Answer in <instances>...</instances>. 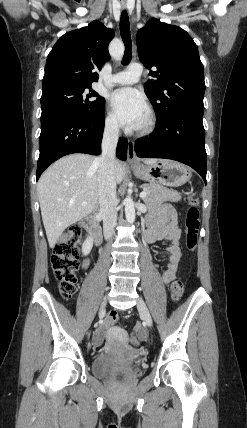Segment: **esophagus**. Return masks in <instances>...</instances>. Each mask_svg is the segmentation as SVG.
Listing matches in <instances>:
<instances>
[{
	"mask_svg": "<svg viewBox=\"0 0 247 428\" xmlns=\"http://www.w3.org/2000/svg\"><path fill=\"white\" fill-rule=\"evenodd\" d=\"M123 8H125L124 4H123ZM127 162L130 165H136V164H138V161L136 160V157H135L134 142L132 140H128Z\"/></svg>",
	"mask_w": 247,
	"mask_h": 428,
	"instance_id": "1",
	"label": "esophagus"
}]
</instances>
